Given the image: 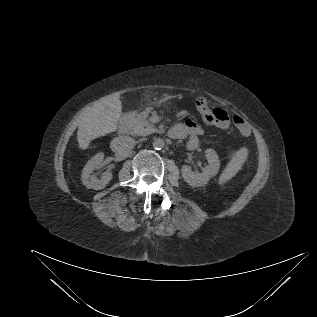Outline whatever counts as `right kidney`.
<instances>
[{
    "instance_id": "right-kidney-1",
    "label": "right kidney",
    "mask_w": 317,
    "mask_h": 317,
    "mask_svg": "<svg viewBox=\"0 0 317 317\" xmlns=\"http://www.w3.org/2000/svg\"><path fill=\"white\" fill-rule=\"evenodd\" d=\"M103 159L104 154L98 153L92 157L83 168L82 182L87 188L94 190L103 189L112 179V173L110 171H105L100 179H97L92 174L94 170H97L102 166Z\"/></svg>"
}]
</instances>
